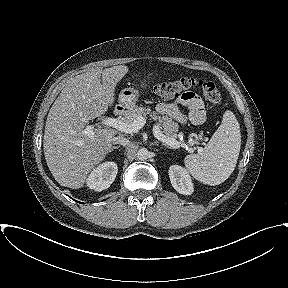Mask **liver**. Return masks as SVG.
I'll return each mask as SVG.
<instances>
[{
    "label": "liver",
    "mask_w": 288,
    "mask_h": 288,
    "mask_svg": "<svg viewBox=\"0 0 288 288\" xmlns=\"http://www.w3.org/2000/svg\"><path fill=\"white\" fill-rule=\"evenodd\" d=\"M128 71L127 66L118 65L77 75L52 105L43 147L48 168L60 185L72 189L83 187L89 173L110 152L116 130L94 128L93 138L84 130L89 120L103 115L114 103L115 87Z\"/></svg>",
    "instance_id": "1"
}]
</instances>
